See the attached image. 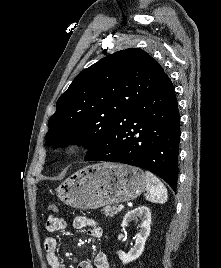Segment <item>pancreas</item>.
<instances>
[{"mask_svg": "<svg viewBox=\"0 0 221 268\" xmlns=\"http://www.w3.org/2000/svg\"><path fill=\"white\" fill-rule=\"evenodd\" d=\"M101 211L106 217H113L120 212V209L116 205H114L112 207L106 206Z\"/></svg>", "mask_w": 221, "mask_h": 268, "instance_id": "pancreas-1", "label": "pancreas"}]
</instances>
